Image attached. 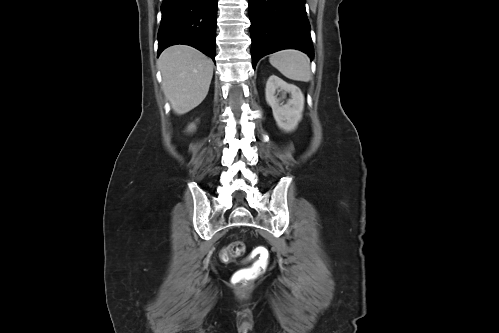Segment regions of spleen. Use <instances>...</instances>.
<instances>
[{
	"label": "spleen",
	"mask_w": 499,
	"mask_h": 333,
	"mask_svg": "<svg viewBox=\"0 0 499 333\" xmlns=\"http://www.w3.org/2000/svg\"><path fill=\"white\" fill-rule=\"evenodd\" d=\"M269 62L289 79L303 82L311 80L309 58L301 51L293 49L279 51L269 57Z\"/></svg>",
	"instance_id": "spleen-1"
}]
</instances>
